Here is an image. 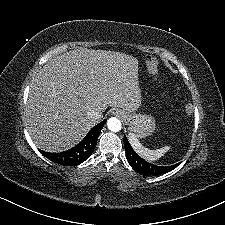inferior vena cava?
Wrapping results in <instances>:
<instances>
[{"label":"inferior vena cava","instance_id":"obj_1","mask_svg":"<svg viewBox=\"0 0 225 225\" xmlns=\"http://www.w3.org/2000/svg\"><path fill=\"white\" fill-rule=\"evenodd\" d=\"M88 116H90V117H100L101 112L99 111V109H91L90 111H88Z\"/></svg>","mask_w":225,"mask_h":225}]
</instances>
